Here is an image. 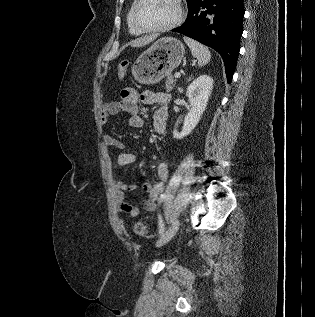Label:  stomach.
I'll list each match as a JSON object with an SVG mask.
<instances>
[{
	"mask_svg": "<svg viewBox=\"0 0 315 317\" xmlns=\"http://www.w3.org/2000/svg\"><path fill=\"white\" fill-rule=\"evenodd\" d=\"M185 48L173 37H163L144 51L132 66L134 79L141 84H155L179 66Z\"/></svg>",
	"mask_w": 315,
	"mask_h": 317,
	"instance_id": "0dacf381",
	"label": "stomach"
}]
</instances>
